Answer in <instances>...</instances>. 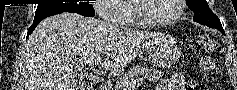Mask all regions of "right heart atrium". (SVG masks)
<instances>
[{
  "instance_id": "right-heart-atrium-1",
  "label": "right heart atrium",
  "mask_w": 237,
  "mask_h": 90,
  "mask_svg": "<svg viewBox=\"0 0 237 90\" xmlns=\"http://www.w3.org/2000/svg\"><path fill=\"white\" fill-rule=\"evenodd\" d=\"M123 0H95L90 10L100 12L103 20H122L123 15L115 11V6H121Z\"/></svg>"
}]
</instances>
